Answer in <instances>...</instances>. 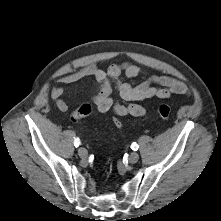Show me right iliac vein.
<instances>
[{
  "label": "right iliac vein",
  "mask_w": 221,
  "mask_h": 221,
  "mask_svg": "<svg viewBox=\"0 0 221 221\" xmlns=\"http://www.w3.org/2000/svg\"><path fill=\"white\" fill-rule=\"evenodd\" d=\"M78 155L82 158L85 159L87 157V150L85 148H79L78 149Z\"/></svg>",
  "instance_id": "63e3f726"
}]
</instances>
